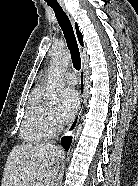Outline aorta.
I'll return each instance as SVG.
<instances>
[{"label":"aorta","mask_w":138,"mask_h":186,"mask_svg":"<svg viewBox=\"0 0 138 186\" xmlns=\"http://www.w3.org/2000/svg\"><path fill=\"white\" fill-rule=\"evenodd\" d=\"M71 60V54L67 51L55 52L51 59L48 71L47 94L50 102L56 104L60 100L64 88L63 75Z\"/></svg>","instance_id":"aorta-1"}]
</instances>
